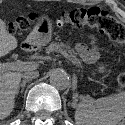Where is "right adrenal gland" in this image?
Segmentation results:
<instances>
[{"instance_id": "obj_1", "label": "right adrenal gland", "mask_w": 125, "mask_h": 125, "mask_svg": "<svg viewBox=\"0 0 125 125\" xmlns=\"http://www.w3.org/2000/svg\"><path fill=\"white\" fill-rule=\"evenodd\" d=\"M29 81H30V80H23V81L19 84V86H18V88H17V91H16V94L19 93L20 89H21L20 92L23 93L24 88H25V85H26V83L29 82Z\"/></svg>"}]
</instances>
